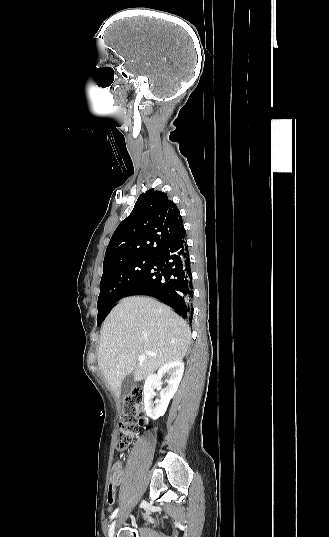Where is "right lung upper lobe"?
<instances>
[{
	"mask_svg": "<svg viewBox=\"0 0 329 537\" xmlns=\"http://www.w3.org/2000/svg\"><path fill=\"white\" fill-rule=\"evenodd\" d=\"M183 232L182 217L175 203L167 194L150 189L139 196L131 214L112 235L103 269L153 257Z\"/></svg>",
	"mask_w": 329,
	"mask_h": 537,
	"instance_id": "cb5924a9",
	"label": "right lung upper lobe"
}]
</instances>
